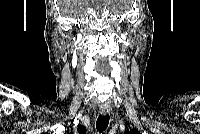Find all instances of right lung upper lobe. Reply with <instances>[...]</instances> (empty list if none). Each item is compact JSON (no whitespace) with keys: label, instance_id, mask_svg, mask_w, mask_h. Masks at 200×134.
I'll return each instance as SVG.
<instances>
[{"label":"right lung upper lobe","instance_id":"right-lung-upper-lobe-1","mask_svg":"<svg viewBox=\"0 0 200 134\" xmlns=\"http://www.w3.org/2000/svg\"><path fill=\"white\" fill-rule=\"evenodd\" d=\"M78 131H79L81 134H83V133H84V130H83V129H81V128H79V129H78Z\"/></svg>","mask_w":200,"mask_h":134}]
</instances>
